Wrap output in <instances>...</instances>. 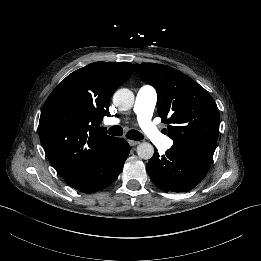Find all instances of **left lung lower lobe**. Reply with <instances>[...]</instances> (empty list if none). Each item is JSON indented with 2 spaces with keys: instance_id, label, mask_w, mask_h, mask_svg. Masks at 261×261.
Instances as JSON below:
<instances>
[{
  "instance_id": "0a47b994",
  "label": "left lung lower lobe",
  "mask_w": 261,
  "mask_h": 261,
  "mask_svg": "<svg viewBox=\"0 0 261 261\" xmlns=\"http://www.w3.org/2000/svg\"><path fill=\"white\" fill-rule=\"evenodd\" d=\"M213 154L189 147H171L157 152L146 165L152 181L165 192H188L206 176Z\"/></svg>"
}]
</instances>
